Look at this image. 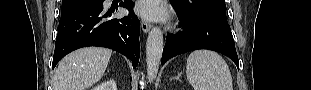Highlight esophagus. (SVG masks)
Wrapping results in <instances>:
<instances>
[{
	"instance_id": "esophagus-1",
	"label": "esophagus",
	"mask_w": 311,
	"mask_h": 90,
	"mask_svg": "<svg viewBox=\"0 0 311 90\" xmlns=\"http://www.w3.org/2000/svg\"><path fill=\"white\" fill-rule=\"evenodd\" d=\"M141 28H142V31L144 33H147L151 28V24L148 23L146 20H142L141 21Z\"/></svg>"
}]
</instances>
